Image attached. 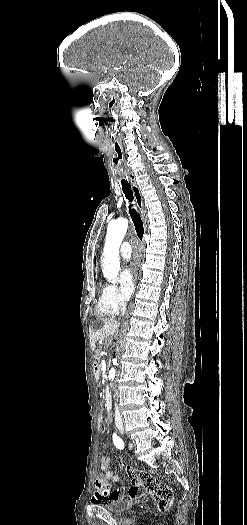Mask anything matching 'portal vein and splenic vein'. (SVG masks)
<instances>
[{
    "label": "portal vein and splenic vein",
    "mask_w": 247,
    "mask_h": 525,
    "mask_svg": "<svg viewBox=\"0 0 247 525\" xmlns=\"http://www.w3.org/2000/svg\"><path fill=\"white\" fill-rule=\"evenodd\" d=\"M99 370H102L101 364H98Z\"/></svg>",
    "instance_id": "portal-vein-and-splenic-vein-1"
}]
</instances>
